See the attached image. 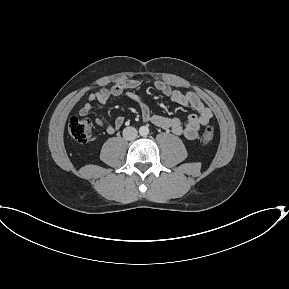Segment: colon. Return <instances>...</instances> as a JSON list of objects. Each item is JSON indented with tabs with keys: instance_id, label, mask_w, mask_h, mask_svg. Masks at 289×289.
<instances>
[{
	"instance_id": "obj_1",
	"label": "colon",
	"mask_w": 289,
	"mask_h": 289,
	"mask_svg": "<svg viewBox=\"0 0 289 289\" xmlns=\"http://www.w3.org/2000/svg\"><path fill=\"white\" fill-rule=\"evenodd\" d=\"M92 124L87 118L72 117L68 122V131L71 137L79 142L86 143L91 136ZM214 139V129L208 126L204 129L201 135V141L204 144L212 142Z\"/></svg>"
}]
</instances>
